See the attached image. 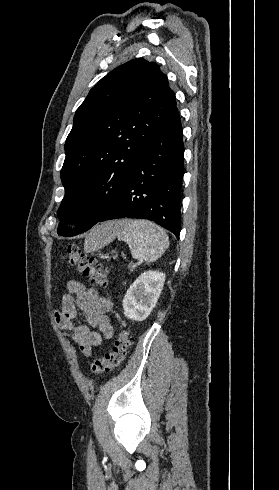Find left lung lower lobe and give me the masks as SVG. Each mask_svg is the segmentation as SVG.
I'll use <instances>...</instances> for the list:
<instances>
[{"label":"left lung lower lobe","instance_id":"left-lung-lower-lobe-1","mask_svg":"<svg viewBox=\"0 0 279 490\" xmlns=\"http://www.w3.org/2000/svg\"><path fill=\"white\" fill-rule=\"evenodd\" d=\"M182 127L177 108L153 132L125 177L115 204L100 221L141 218L180 234L184 174Z\"/></svg>","mask_w":279,"mask_h":490}]
</instances>
